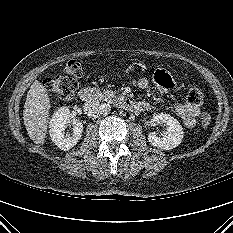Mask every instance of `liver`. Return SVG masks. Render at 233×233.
<instances>
[{"label": "liver", "instance_id": "liver-1", "mask_svg": "<svg viewBox=\"0 0 233 233\" xmlns=\"http://www.w3.org/2000/svg\"><path fill=\"white\" fill-rule=\"evenodd\" d=\"M51 102L47 89L34 81L27 93L23 110V120L30 139L35 144H44Z\"/></svg>", "mask_w": 233, "mask_h": 233}]
</instances>
